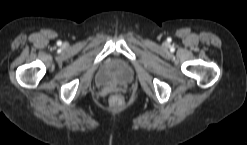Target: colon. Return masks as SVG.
I'll list each match as a JSON object with an SVG mask.
<instances>
[{
  "label": "colon",
  "mask_w": 247,
  "mask_h": 145,
  "mask_svg": "<svg viewBox=\"0 0 247 145\" xmlns=\"http://www.w3.org/2000/svg\"><path fill=\"white\" fill-rule=\"evenodd\" d=\"M110 103L112 106L118 107L122 105L123 100L120 96H113L110 100Z\"/></svg>",
  "instance_id": "5ec220e1"
}]
</instances>
